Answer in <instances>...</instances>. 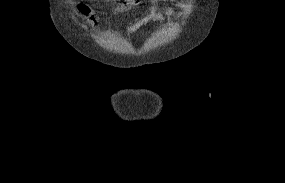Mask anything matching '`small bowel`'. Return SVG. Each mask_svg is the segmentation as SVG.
<instances>
[{"label": "small bowel", "mask_w": 285, "mask_h": 183, "mask_svg": "<svg viewBox=\"0 0 285 183\" xmlns=\"http://www.w3.org/2000/svg\"><path fill=\"white\" fill-rule=\"evenodd\" d=\"M117 1L118 4L112 10V12L115 14L131 11L134 7L133 3H135L132 2L131 0H117ZM156 1L157 0H148V2L153 4V8L148 13H146L145 15H143L142 17H140L139 19H137L135 22H133L127 27L126 32L128 34L135 33L143 25H145L150 21L161 20L165 16L174 15V10L172 8H165V9L159 8L156 6Z\"/></svg>", "instance_id": "obj_1"}]
</instances>
